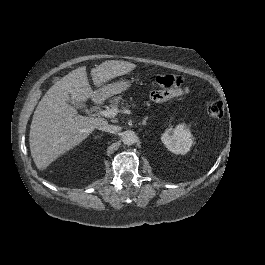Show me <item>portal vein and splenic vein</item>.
<instances>
[{
  "mask_svg": "<svg viewBox=\"0 0 265 265\" xmlns=\"http://www.w3.org/2000/svg\"><path fill=\"white\" fill-rule=\"evenodd\" d=\"M119 112H123L124 114H130L134 115V112H131L130 109H119L118 107H113L111 109H107L104 111V116L105 117H115Z\"/></svg>",
  "mask_w": 265,
  "mask_h": 265,
  "instance_id": "portal-vein-and-splenic-vein-1",
  "label": "portal vein and splenic vein"
}]
</instances>
